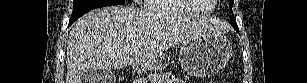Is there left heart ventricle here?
I'll use <instances>...</instances> for the list:
<instances>
[{"label":"left heart ventricle","mask_w":307,"mask_h":83,"mask_svg":"<svg viewBox=\"0 0 307 83\" xmlns=\"http://www.w3.org/2000/svg\"><path fill=\"white\" fill-rule=\"evenodd\" d=\"M196 2L197 3H201V1H199V0L196 1ZM202 3H205V2L202 1ZM198 6H200L201 10H209L211 8V5H205V4L204 5L203 4H201V5L199 4Z\"/></svg>","instance_id":"left-heart-ventricle-1"}]
</instances>
